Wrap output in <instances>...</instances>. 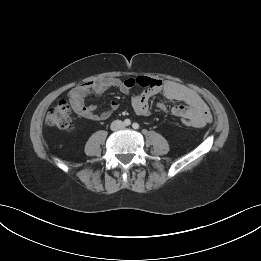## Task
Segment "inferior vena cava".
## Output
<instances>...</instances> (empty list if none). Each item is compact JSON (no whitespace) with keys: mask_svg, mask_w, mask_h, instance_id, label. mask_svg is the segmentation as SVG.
I'll use <instances>...</instances> for the list:
<instances>
[{"mask_svg":"<svg viewBox=\"0 0 261 261\" xmlns=\"http://www.w3.org/2000/svg\"><path fill=\"white\" fill-rule=\"evenodd\" d=\"M124 127V124L121 120H115L111 123V130L116 131Z\"/></svg>","mask_w":261,"mask_h":261,"instance_id":"inferior-vena-cava-1","label":"inferior vena cava"}]
</instances>
